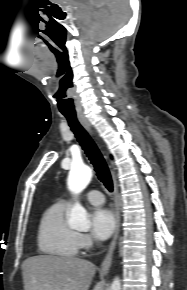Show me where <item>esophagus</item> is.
Returning a JSON list of instances; mask_svg holds the SVG:
<instances>
[{
    "label": "esophagus",
    "mask_w": 187,
    "mask_h": 290,
    "mask_svg": "<svg viewBox=\"0 0 187 290\" xmlns=\"http://www.w3.org/2000/svg\"><path fill=\"white\" fill-rule=\"evenodd\" d=\"M79 122L91 133L93 134V130L91 128L90 123L88 122L87 118L85 117L84 114L78 113L77 115ZM112 173V178H113V186H114V203H115V218H116V228L114 232L113 239L110 243V246L108 248V252L101 264L100 268V273L101 274H106L112 263V257H113V252L117 244L119 232H120V204L118 200V183H117V178L115 175V172L111 170Z\"/></svg>",
    "instance_id": "1"
}]
</instances>
